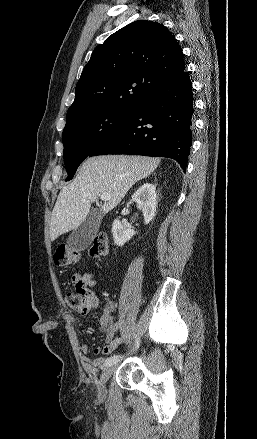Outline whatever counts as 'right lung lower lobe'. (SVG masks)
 Returning a JSON list of instances; mask_svg holds the SVG:
<instances>
[{"label": "right lung lower lobe", "instance_id": "obj_1", "mask_svg": "<svg viewBox=\"0 0 257 439\" xmlns=\"http://www.w3.org/2000/svg\"><path fill=\"white\" fill-rule=\"evenodd\" d=\"M193 97L187 72L148 95L131 117L89 156L131 154L168 157L184 172L192 144Z\"/></svg>", "mask_w": 257, "mask_h": 439}]
</instances>
